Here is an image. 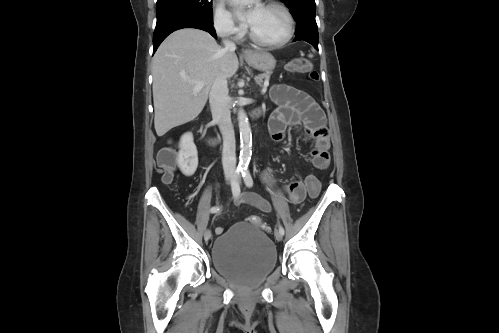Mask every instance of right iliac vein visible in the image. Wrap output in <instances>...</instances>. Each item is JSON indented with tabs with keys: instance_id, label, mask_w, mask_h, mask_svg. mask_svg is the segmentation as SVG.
I'll use <instances>...</instances> for the list:
<instances>
[{
	"instance_id": "obj_1",
	"label": "right iliac vein",
	"mask_w": 499,
	"mask_h": 333,
	"mask_svg": "<svg viewBox=\"0 0 499 333\" xmlns=\"http://www.w3.org/2000/svg\"><path fill=\"white\" fill-rule=\"evenodd\" d=\"M230 180H231V179H229V181H230ZM210 238H211V231L207 229V230L204 232V239H205L206 241H208Z\"/></svg>"
}]
</instances>
